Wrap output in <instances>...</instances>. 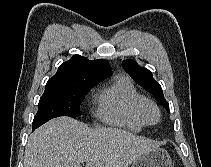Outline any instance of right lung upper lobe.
<instances>
[{
	"instance_id": "right-lung-upper-lobe-1",
	"label": "right lung upper lobe",
	"mask_w": 211,
	"mask_h": 167,
	"mask_svg": "<svg viewBox=\"0 0 211 167\" xmlns=\"http://www.w3.org/2000/svg\"><path fill=\"white\" fill-rule=\"evenodd\" d=\"M111 73V67L104 59L89 61L85 57L74 55L59 66L57 73L48 80L45 87H64L89 80L102 81Z\"/></svg>"
}]
</instances>
